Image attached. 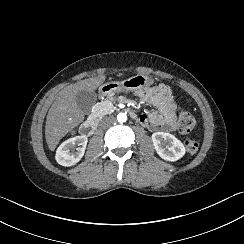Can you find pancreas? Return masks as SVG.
I'll return each instance as SVG.
<instances>
[{
  "mask_svg": "<svg viewBox=\"0 0 244 244\" xmlns=\"http://www.w3.org/2000/svg\"><path fill=\"white\" fill-rule=\"evenodd\" d=\"M101 110L105 113H109L112 110V102L110 99H107L105 101H102L99 104Z\"/></svg>",
  "mask_w": 244,
  "mask_h": 244,
  "instance_id": "obj_1",
  "label": "pancreas"
}]
</instances>
